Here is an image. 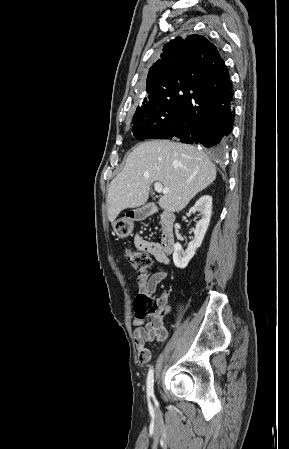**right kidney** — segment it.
Segmentation results:
<instances>
[{"label":"right kidney","mask_w":289,"mask_h":449,"mask_svg":"<svg viewBox=\"0 0 289 449\" xmlns=\"http://www.w3.org/2000/svg\"><path fill=\"white\" fill-rule=\"evenodd\" d=\"M190 212H200L202 218L197 222L196 229L194 230V239L188 244L185 251L180 243L177 242L174 245L173 262L175 266L180 269L187 267L188 263L195 255L196 250L202 244L212 215V196L203 195L200 197L190 209Z\"/></svg>","instance_id":"ca27d5eb"}]
</instances>
